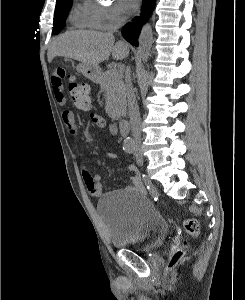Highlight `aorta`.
I'll return each mask as SVG.
<instances>
[{
	"label": "aorta",
	"instance_id": "1",
	"mask_svg": "<svg viewBox=\"0 0 245 300\" xmlns=\"http://www.w3.org/2000/svg\"><path fill=\"white\" fill-rule=\"evenodd\" d=\"M153 42L152 28L150 25H145L139 36V54L142 61H147L150 56L151 48ZM134 146V141L128 137L124 141L125 148H132Z\"/></svg>",
	"mask_w": 245,
	"mask_h": 300
}]
</instances>
